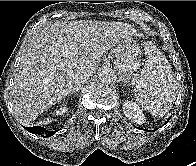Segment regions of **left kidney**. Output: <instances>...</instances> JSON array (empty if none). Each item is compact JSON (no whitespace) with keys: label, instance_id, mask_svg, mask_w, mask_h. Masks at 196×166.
I'll return each mask as SVG.
<instances>
[{"label":"left kidney","instance_id":"5707ae66","mask_svg":"<svg viewBox=\"0 0 196 166\" xmlns=\"http://www.w3.org/2000/svg\"><path fill=\"white\" fill-rule=\"evenodd\" d=\"M123 112L128 119L132 120L138 125H141L145 122L144 114L138 105L133 101H125L123 103Z\"/></svg>","mask_w":196,"mask_h":166}]
</instances>
